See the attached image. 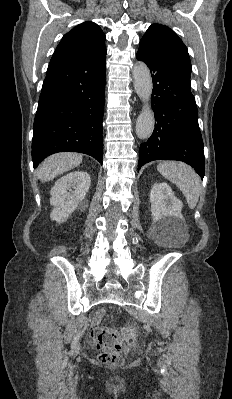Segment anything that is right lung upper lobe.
Returning <instances> with one entry per match:
<instances>
[{"label":"right lung upper lobe","instance_id":"right-lung-upper-lobe-1","mask_svg":"<svg viewBox=\"0 0 232 399\" xmlns=\"http://www.w3.org/2000/svg\"><path fill=\"white\" fill-rule=\"evenodd\" d=\"M106 55L105 34L93 22H85L65 34L50 62L96 59Z\"/></svg>","mask_w":232,"mask_h":399}]
</instances>
